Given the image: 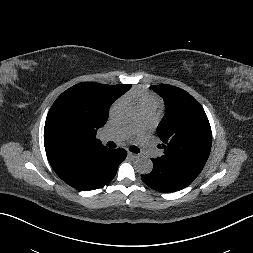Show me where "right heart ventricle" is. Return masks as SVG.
Returning a JSON list of instances; mask_svg holds the SVG:
<instances>
[{
  "mask_svg": "<svg viewBox=\"0 0 253 253\" xmlns=\"http://www.w3.org/2000/svg\"><path fill=\"white\" fill-rule=\"evenodd\" d=\"M133 99L138 110L151 109L155 111L159 106L158 100L148 93L136 92L133 94Z\"/></svg>",
  "mask_w": 253,
  "mask_h": 253,
  "instance_id": "e07e8e85",
  "label": "right heart ventricle"
}]
</instances>
